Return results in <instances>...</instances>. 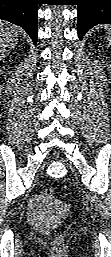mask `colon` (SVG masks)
<instances>
[{
  "mask_svg": "<svg viewBox=\"0 0 111 257\" xmlns=\"http://www.w3.org/2000/svg\"><path fill=\"white\" fill-rule=\"evenodd\" d=\"M39 202H48L55 210H63L64 207L61 203H58L54 200V190L49 187H45L41 190L40 195L38 197ZM65 224H69L71 219L68 216L64 217ZM62 240V236L59 235L56 237V243H60Z\"/></svg>",
  "mask_w": 111,
  "mask_h": 257,
  "instance_id": "5ec220e1",
  "label": "colon"
}]
</instances>
